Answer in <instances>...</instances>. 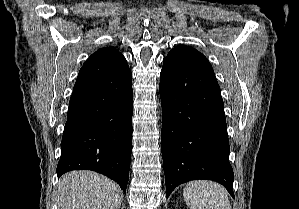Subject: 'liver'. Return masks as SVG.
I'll use <instances>...</instances> for the list:
<instances>
[{
  "label": "liver",
  "mask_w": 299,
  "mask_h": 209,
  "mask_svg": "<svg viewBox=\"0 0 299 209\" xmlns=\"http://www.w3.org/2000/svg\"><path fill=\"white\" fill-rule=\"evenodd\" d=\"M57 196L59 209H119L123 200L118 184L87 170L63 175Z\"/></svg>",
  "instance_id": "obj_1"
}]
</instances>
